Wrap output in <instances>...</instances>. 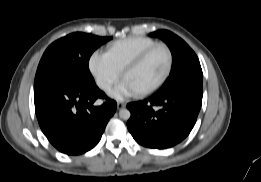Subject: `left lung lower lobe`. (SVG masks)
<instances>
[{
	"label": "left lung lower lobe",
	"instance_id": "0a47b994",
	"mask_svg": "<svg viewBox=\"0 0 261 182\" xmlns=\"http://www.w3.org/2000/svg\"><path fill=\"white\" fill-rule=\"evenodd\" d=\"M203 84L195 83L171 93L154 94L129 103L127 127L137 143L154 149L170 148L188 136L202 104Z\"/></svg>",
	"mask_w": 261,
	"mask_h": 182
}]
</instances>
